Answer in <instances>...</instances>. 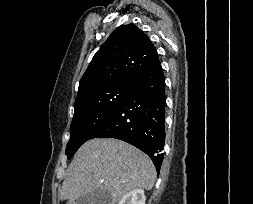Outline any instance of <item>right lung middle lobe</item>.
Masks as SVG:
<instances>
[{"mask_svg":"<svg viewBox=\"0 0 253 204\" xmlns=\"http://www.w3.org/2000/svg\"><path fill=\"white\" fill-rule=\"evenodd\" d=\"M132 84H111L93 90L75 101L71 137L66 148L68 159L84 142L94 137L125 99Z\"/></svg>","mask_w":253,"mask_h":204,"instance_id":"dd1d6c3e","label":"right lung middle lobe"}]
</instances>
